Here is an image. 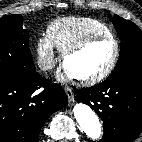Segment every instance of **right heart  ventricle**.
Masks as SVG:
<instances>
[{
	"label": "right heart ventricle",
	"mask_w": 142,
	"mask_h": 142,
	"mask_svg": "<svg viewBox=\"0 0 142 142\" xmlns=\"http://www.w3.org/2000/svg\"><path fill=\"white\" fill-rule=\"evenodd\" d=\"M93 34H112L103 22L90 17H65L50 23L46 36L54 47L63 52L81 39Z\"/></svg>",
	"instance_id": "obj_1"
}]
</instances>
